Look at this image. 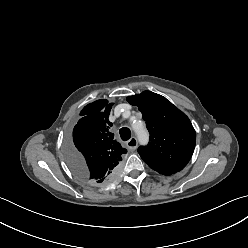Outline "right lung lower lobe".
<instances>
[{"label":"right lung lower lobe","mask_w":248,"mask_h":248,"mask_svg":"<svg viewBox=\"0 0 248 248\" xmlns=\"http://www.w3.org/2000/svg\"><path fill=\"white\" fill-rule=\"evenodd\" d=\"M74 163H75L74 164L75 168H78V166H79L78 165L79 164V157L76 154L74 156ZM117 172H118V168H116L114 171H112L111 175H109L106 179H104V178L85 179L82 175H78L77 173H76V175L79 176L83 180L89 181L91 183H97V182H99L101 180L108 181L109 179L114 178L116 176Z\"/></svg>","instance_id":"right-lung-lower-lobe-1"}]
</instances>
